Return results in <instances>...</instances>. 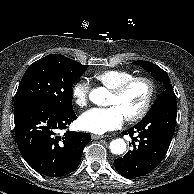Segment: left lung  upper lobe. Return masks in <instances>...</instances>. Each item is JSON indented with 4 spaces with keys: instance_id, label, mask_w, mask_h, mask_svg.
<instances>
[{
    "instance_id": "1",
    "label": "left lung upper lobe",
    "mask_w": 194,
    "mask_h": 194,
    "mask_svg": "<svg viewBox=\"0 0 194 194\" xmlns=\"http://www.w3.org/2000/svg\"><path fill=\"white\" fill-rule=\"evenodd\" d=\"M133 64H138L141 67H143L144 69H146L147 71L151 72L152 76L159 82L163 83V86L165 88V90L158 95L156 101L154 102L153 107L165 103V102H169V101H176V96L174 94L170 79L167 75V73L161 69L159 66L148 62V61H135L133 62Z\"/></svg>"
}]
</instances>
